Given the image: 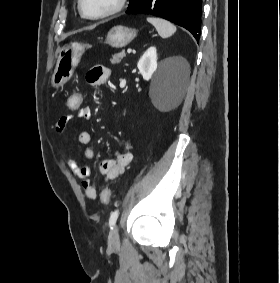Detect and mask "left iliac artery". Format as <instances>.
I'll use <instances>...</instances> for the list:
<instances>
[{"instance_id":"left-iliac-artery-1","label":"left iliac artery","mask_w":280,"mask_h":283,"mask_svg":"<svg viewBox=\"0 0 280 283\" xmlns=\"http://www.w3.org/2000/svg\"><path fill=\"white\" fill-rule=\"evenodd\" d=\"M119 216V210H115L111 213L110 218H109V226L112 229L113 226L115 225L117 219Z\"/></svg>"}]
</instances>
